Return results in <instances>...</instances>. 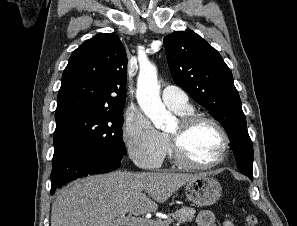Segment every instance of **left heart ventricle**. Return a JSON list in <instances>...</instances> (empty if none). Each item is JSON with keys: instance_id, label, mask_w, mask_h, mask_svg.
I'll use <instances>...</instances> for the list:
<instances>
[{"instance_id": "left-heart-ventricle-1", "label": "left heart ventricle", "mask_w": 297, "mask_h": 226, "mask_svg": "<svg viewBox=\"0 0 297 226\" xmlns=\"http://www.w3.org/2000/svg\"><path fill=\"white\" fill-rule=\"evenodd\" d=\"M178 132V122L168 130L171 134ZM223 142L219 130L207 122L195 125L184 137V146L188 155L200 164H208L216 160L221 153Z\"/></svg>"}]
</instances>
